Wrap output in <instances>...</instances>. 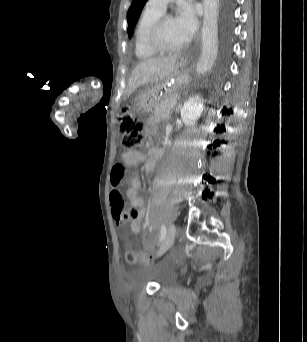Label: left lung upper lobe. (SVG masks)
Returning a JSON list of instances; mask_svg holds the SVG:
<instances>
[{
	"instance_id": "obj_1",
	"label": "left lung upper lobe",
	"mask_w": 307,
	"mask_h": 342,
	"mask_svg": "<svg viewBox=\"0 0 307 342\" xmlns=\"http://www.w3.org/2000/svg\"><path fill=\"white\" fill-rule=\"evenodd\" d=\"M147 0H133L132 5L129 8L127 13V21H128V35L132 36L133 29L136 25V22L140 16V13L145 5ZM224 18H228V12H224Z\"/></svg>"
}]
</instances>
